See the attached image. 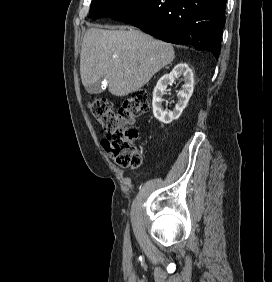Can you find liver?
<instances>
[{"mask_svg": "<svg viewBox=\"0 0 272 282\" xmlns=\"http://www.w3.org/2000/svg\"><path fill=\"white\" fill-rule=\"evenodd\" d=\"M175 58L169 43L139 30L86 31L80 53V75L85 88L106 80L115 96H126L143 87Z\"/></svg>", "mask_w": 272, "mask_h": 282, "instance_id": "1", "label": "liver"}]
</instances>
